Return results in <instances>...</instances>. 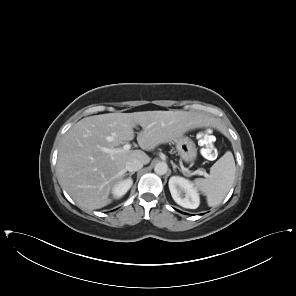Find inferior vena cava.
<instances>
[{
    "label": "inferior vena cava",
    "instance_id": "obj_1",
    "mask_svg": "<svg viewBox=\"0 0 296 296\" xmlns=\"http://www.w3.org/2000/svg\"><path fill=\"white\" fill-rule=\"evenodd\" d=\"M143 167V163L139 159H130L126 163L125 169L129 172H136Z\"/></svg>",
    "mask_w": 296,
    "mask_h": 296
}]
</instances>
